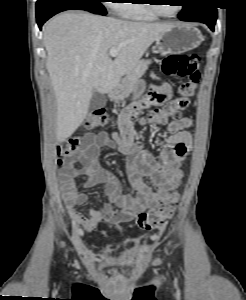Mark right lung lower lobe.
Instances as JSON below:
<instances>
[{"mask_svg":"<svg viewBox=\"0 0 246 300\" xmlns=\"http://www.w3.org/2000/svg\"><path fill=\"white\" fill-rule=\"evenodd\" d=\"M71 9H80L88 11L83 5L74 2H57L46 6L43 10L36 11V18L39 28L55 14ZM90 12V11H89Z\"/></svg>","mask_w":246,"mask_h":300,"instance_id":"1","label":"right lung lower lobe"}]
</instances>
